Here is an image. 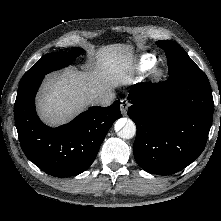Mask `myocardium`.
Returning <instances> with one entry per match:
<instances>
[{"mask_svg": "<svg viewBox=\"0 0 221 221\" xmlns=\"http://www.w3.org/2000/svg\"><path fill=\"white\" fill-rule=\"evenodd\" d=\"M164 73L161 68H155L152 72V79L158 81L163 77Z\"/></svg>", "mask_w": 221, "mask_h": 221, "instance_id": "f54148a6", "label": "myocardium"}]
</instances>
